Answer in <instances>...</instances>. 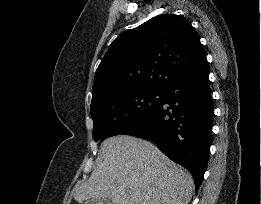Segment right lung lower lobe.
I'll return each instance as SVG.
<instances>
[{
	"instance_id": "right-lung-lower-lobe-1",
	"label": "right lung lower lobe",
	"mask_w": 261,
	"mask_h": 204,
	"mask_svg": "<svg viewBox=\"0 0 261 204\" xmlns=\"http://www.w3.org/2000/svg\"><path fill=\"white\" fill-rule=\"evenodd\" d=\"M209 84L205 59L168 85L160 102L121 133L156 142L168 158L191 172L196 191L207 168L211 145L213 101Z\"/></svg>"
}]
</instances>
